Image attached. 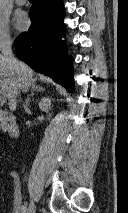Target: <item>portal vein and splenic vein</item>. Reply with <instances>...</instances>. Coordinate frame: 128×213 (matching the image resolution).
I'll return each mask as SVG.
<instances>
[{"label": "portal vein and splenic vein", "instance_id": "obj_1", "mask_svg": "<svg viewBox=\"0 0 128 213\" xmlns=\"http://www.w3.org/2000/svg\"><path fill=\"white\" fill-rule=\"evenodd\" d=\"M5 102H6L5 97L0 95V104H4Z\"/></svg>", "mask_w": 128, "mask_h": 213}]
</instances>
